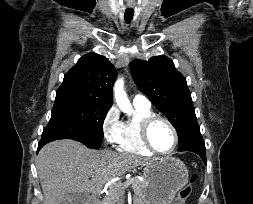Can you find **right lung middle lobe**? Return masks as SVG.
<instances>
[{
  "label": "right lung middle lobe",
  "instance_id": "obj_1",
  "mask_svg": "<svg viewBox=\"0 0 253 204\" xmlns=\"http://www.w3.org/2000/svg\"><path fill=\"white\" fill-rule=\"evenodd\" d=\"M110 106L70 91H57L44 139H73L98 149L103 139V121Z\"/></svg>",
  "mask_w": 253,
  "mask_h": 204
}]
</instances>
